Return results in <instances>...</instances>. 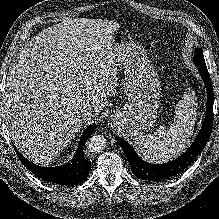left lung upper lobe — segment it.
<instances>
[{"label":"left lung upper lobe","mask_w":219,"mask_h":219,"mask_svg":"<svg viewBox=\"0 0 219 219\" xmlns=\"http://www.w3.org/2000/svg\"><path fill=\"white\" fill-rule=\"evenodd\" d=\"M194 63H195V64H203V65H206V64H205L204 57H203V53H202V50H201V49H198V50L196 51V55L194 56Z\"/></svg>","instance_id":"obj_1"}]
</instances>
